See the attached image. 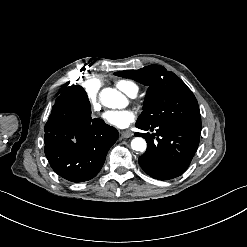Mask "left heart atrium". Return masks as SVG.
Segmentation results:
<instances>
[{"mask_svg":"<svg viewBox=\"0 0 247 247\" xmlns=\"http://www.w3.org/2000/svg\"><path fill=\"white\" fill-rule=\"evenodd\" d=\"M137 118V113L131 109L109 110L104 114L105 121L114 127L125 128Z\"/></svg>","mask_w":247,"mask_h":247,"instance_id":"obj_1","label":"left heart atrium"}]
</instances>
